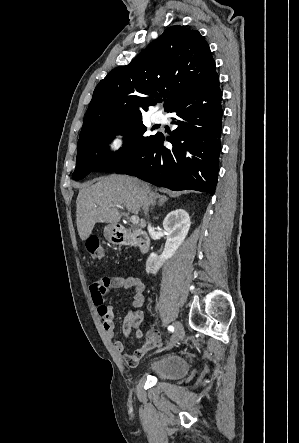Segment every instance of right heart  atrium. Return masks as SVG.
Here are the masks:
<instances>
[{"label":"right heart atrium","instance_id":"right-heart-atrium-1","mask_svg":"<svg viewBox=\"0 0 299 443\" xmlns=\"http://www.w3.org/2000/svg\"><path fill=\"white\" fill-rule=\"evenodd\" d=\"M128 143V136L124 132L114 133L106 143V149L112 153H118L122 151Z\"/></svg>","mask_w":299,"mask_h":443}]
</instances>
